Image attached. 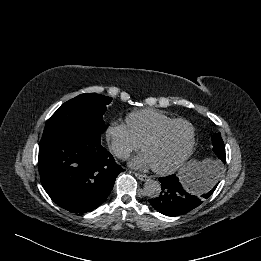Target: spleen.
<instances>
[{
    "label": "spleen",
    "mask_w": 261,
    "mask_h": 261,
    "mask_svg": "<svg viewBox=\"0 0 261 261\" xmlns=\"http://www.w3.org/2000/svg\"><path fill=\"white\" fill-rule=\"evenodd\" d=\"M201 168V163L188 164L186 167L182 168L180 171V177L181 182L186 188H189L191 185H193L195 176Z\"/></svg>",
    "instance_id": "spleen-1"
}]
</instances>
